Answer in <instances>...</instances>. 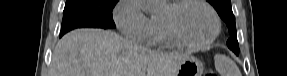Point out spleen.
<instances>
[{
    "instance_id": "spleen-1",
    "label": "spleen",
    "mask_w": 287,
    "mask_h": 76,
    "mask_svg": "<svg viewBox=\"0 0 287 76\" xmlns=\"http://www.w3.org/2000/svg\"><path fill=\"white\" fill-rule=\"evenodd\" d=\"M215 68L221 76H241L238 66L229 57L217 54L214 57Z\"/></svg>"
}]
</instances>
